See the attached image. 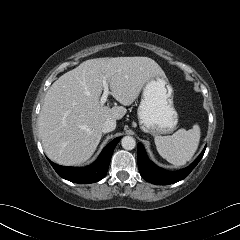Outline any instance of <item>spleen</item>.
<instances>
[{
  "mask_svg": "<svg viewBox=\"0 0 240 240\" xmlns=\"http://www.w3.org/2000/svg\"><path fill=\"white\" fill-rule=\"evenodd\" d=\"M200 127L195 124L192 129H179L171 136H155L158 153L175 166L185 165L195 154L200 141Z\"/></svg>",
  "mask_w": 240,
  "mask_h": 240,
  "instance_id": "3e777b00",
  "label": "spleen"
}]
</instances>
